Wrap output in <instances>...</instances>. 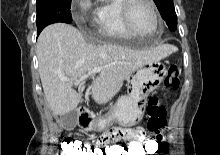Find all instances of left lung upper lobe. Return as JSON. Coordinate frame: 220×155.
I'll return each instance as SVG.
<instances>
[{
  "label": "left lung upper lobe",
  "mask_w": 220,
  "mask_h": 155,
  "mask_svg": "<svg viewBox=\"0 0 220 155\" xmlns=\"http://www.w3.org/2000/svg\"><path fill=\"white\" fill-rule=\"evenodd\" d=\"M162 18L166 21L170 30L177 27V16L175 13L173 0H154Z\"/></svg>",
  "instance_id": "5c2ea615"
}]
</instances>
